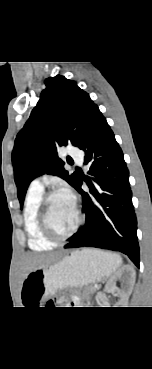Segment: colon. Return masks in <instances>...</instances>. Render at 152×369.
<instances>
[{
	"mask_svg": "<svg viewBox=\"0 0 152 369\" xmlns=\"http://www.w3.org/2000/svg\"><path fill=\"white\" fill-rule=\"evenodd\" d=\"M58 300H59V301H63V302H65V301H66V298H65L64 296H60V297L58 298Z\"/></svg>",
	"mask_w": 152,
	"mask_h": 369,
	"instance_id": "obj_1",
	"label": "colon"
}]
</instances>
